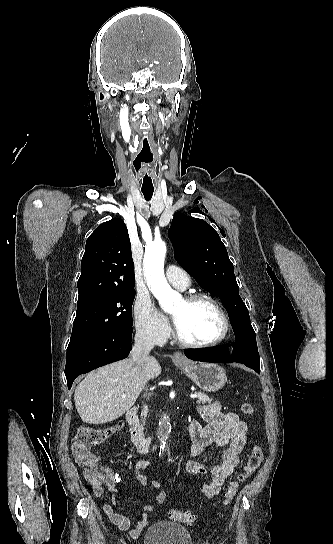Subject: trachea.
<instances>
[{"mask_svg":"<svg viewBox=\"0 0 333 544\" xmlns=\"http://www.w3.org/2000/svg\"><path fill=\"white\" fill-rule=\"evenodd\" d=\"M154 190H142V193L147 201L152 198Z\"/></svg>","mask_w":333,"mask_h":544,"instance_id":"trachea-1","label":"trachea"}]
</instances>
